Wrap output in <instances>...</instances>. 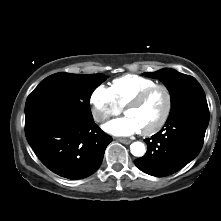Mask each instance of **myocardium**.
<instances>
[{"label":"myocardium","mask_w":221,"mask_h":221,"mask_svg":"<svg viewBox=\"0 0 221 221\" xmlns=\"http://www.w3.org/2000/svg\"><path fill=\"white\" fill-rule=\"evenodd\" d=\"M158 89L163 90L166 94V100H167L166 108H165L163 116L161 117V119L155 126L147 130L141 131V133L145 136H151V135L158 133L165 126V124L167 123L171 115L172 106H173V98H172V93L169 87L164 84H155L153 86H150L149 88L145 89L140 94H138L130 102H128L124 107V113L126 114L129 109L135 108L141 105L142 103H144L152 95V93Z\"/></svg>","instance_id":"1"}]
</instances>
